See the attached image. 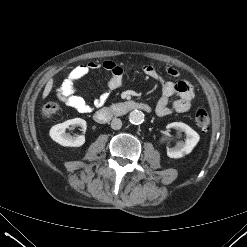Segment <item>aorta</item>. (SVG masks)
<instances>
[{
  "instance_id": "1",
  "label": "aorta",
  "mask_w": 247,
  "mask_h": 247,
  "mask_svg": "<svg viewBox=\"0 0 247 247\" xmlns=\"http://www.w3.org/2000/svg\"><path fill=\"white\" fill-rule=\"evenodd\" d=\"M128 119L131 124L140 125L144 121V113L139 110H133L129 113Z\"/></svg>"
}]
</instances>
